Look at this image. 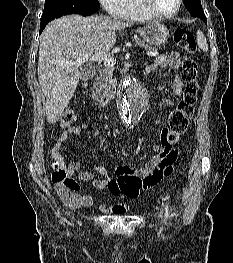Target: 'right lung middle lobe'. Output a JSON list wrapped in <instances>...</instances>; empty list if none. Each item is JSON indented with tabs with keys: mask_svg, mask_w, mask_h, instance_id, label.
Listing matches in <instances>:
<instances>
[{
	"mask_svg": "<svg viewBox=\"0 0 233 263\" xmlns=\"http://www.w3.org/2000/svg\"><path fill=\"white\" fill-rule=\"evenodd\" d=\"M100 8L98 0H46L42 15L43 22L68 14H78L81 9L96 12Z\"/></svg>",
	"mask_w": 233,
	"mask_h": 263,
	"instance_id": "right-lung-middle-lobe-1",
	"label": "right lung middle lobe"
}]
</instances>
